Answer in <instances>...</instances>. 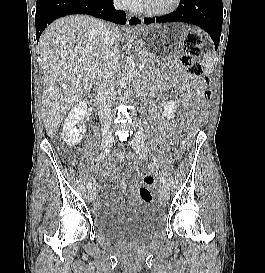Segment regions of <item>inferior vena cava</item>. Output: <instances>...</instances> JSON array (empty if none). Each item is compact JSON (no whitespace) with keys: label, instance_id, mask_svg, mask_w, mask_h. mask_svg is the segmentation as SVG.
<instances>
[{"label":"inferior vena cava","instance_id":"obj_1","mask_svg":"<svg viewBox=\"0 0 265 273\" xmlns=\"http://www.w3.org/2000/svg\"><path fill=\"white\" fill-rule=\"evenodd\" d=\"M127 4L128 0H114L116 9H125ZM101 43L102 62L98 73L100 84L97 95V109L102 124V133L106 135L111 133V99L119 68V50L114 27L108 24L102 26Z\"/></svg>","mask_w":265,"mask_h":273}]
</instances>
